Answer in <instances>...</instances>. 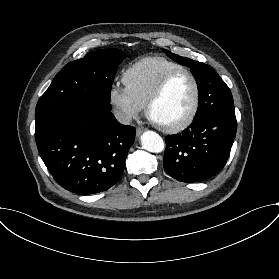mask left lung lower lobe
Instances as JSON below:
<instances>
[{"label": "left lung lower lobe", "instance_id": "0a47b994", "mask_svg": "<svg viewBox=\"0 0 279 279\" xmlns=\"http://www.w3.org/2000/svg\"><path fill=\"white\" fill-rule=\"evenodd\" d=\"M236 117L205 114L182 133L166 137L165 172L181 182H198L222 170L236 136Z\"/></svg>", "mask_w": 279, "mask_h": 279}]
</instances>
